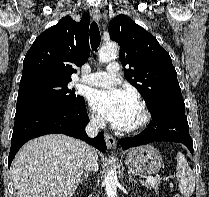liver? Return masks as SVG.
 Here are the masks:
<instances>
[{"label":"liver","instance_id":"liver-1","mask_svg":"<svg viewBox=\"0 0 209 197\" xmlns=\"http://www.w3.org/2000/svg\"><path fill=\"white\" fill-rule=\"evenodd\" d=\"M85 157V144L63 134L28 141L11 166L17 197H71L80 182Z\"/></svg>","mask_w":209,"mask_h":197}]
</instances>
